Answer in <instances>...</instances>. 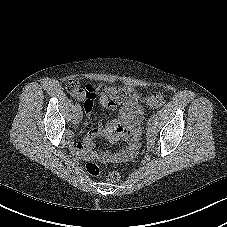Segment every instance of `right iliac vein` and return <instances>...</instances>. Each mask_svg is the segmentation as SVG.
<instances>
[{"instance_id":"1","label":"right iliac vein","mask_w":227,"mask_h":227,"mask_svg":"<svg viewBox=\"0 0 227 227\" xmlns=\"http://www.w3.org/2000/svg\"><path fill=\"white\" fill-rule=\"evenodd\" d=\"M81 118H82L81 112H80V111H77V112L74 114V116H73L72 123H73L74 125L78 124V123L80 122Z\"/></svg>"}]
</instances>
